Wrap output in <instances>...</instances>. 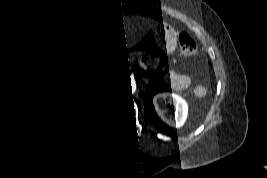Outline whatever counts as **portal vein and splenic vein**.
<instances>
[{"instance_id": "18ae733b", "label": "portal vein and splenic vein", "mask_w": 267, "mask_h": 178, "mask_svg": "<svg viewBox=\"0 0 267 178\" xmlns=\"http://www.w3.org/2000/svg\"><path fill=\"white\" fill-rule=\"evenodd\" d=\"M141 67H142L144 70H147V66H146V65L141 64Z\"/></svg>"}]
</instances>
